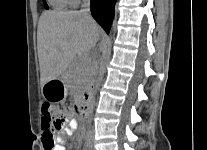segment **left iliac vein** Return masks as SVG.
Returning a JSON list of instances; mask_svg holds the SVG:
<instances>
[{"label":"left iliac vein","mask_w":207,"mask_h":150,"mask_svg":"<svg viewBox=\"0 0 207 150\" xmlns=\"http://www.w3.org/2000/svg\"><path fill=\"white\" fill-rule=\"evenodd\" d=\"M90 147H91V150H94V148H93V144H92V141H90Z\"/></svg>","instance_id":"1"}]
</instances>
